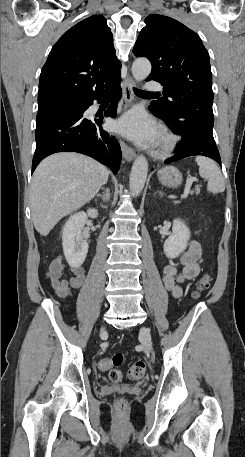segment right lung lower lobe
Here are the masks:
<instances>
[{
	"label": "right lung lower lobe",
	"mask_w": 245,
	"mask_h": 457,
	"mask_svg": "<svg viewBox=\"0 0 245 457\" xmlns=\"http://www.w3.org/2000/svg\"><path fill=\"white\" fill-rule=\"evenodd\" d=\"M120 80L107 89L64 104L38 111L36 118V150L32 172L45 157L56 152H78L88 155L109 166L116 174L120 167L121 150L114 136L102 129L103 116L87 117L85 111L94 100L112 98L105 111L106 117H115L117 103L121 97Z\"/></svg>",
	"instance_id": "obj_1"
}]
</instances>
